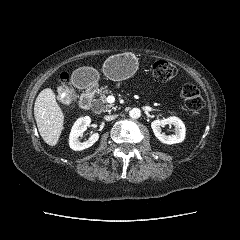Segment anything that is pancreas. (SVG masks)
<instances>
[{
  "mask_svg": "<svg viewBox=\"0 0 240 240\" xmlns=\"http://www.w3.org/2000/svg\"><path fill=\"white\" fill-rule=\"evenodd\" d=\"M111 91L107 89V86L101 87L97 91V99H94L93 110L96 113L107 112L110 108H113V104H107V95L110 94Z\"/></svg>",
  "mask_w": 240,
  "mask_h": 240,
  "instance_id": "cf45deb5",
  "label": "pancreas"
}]
</instances>
